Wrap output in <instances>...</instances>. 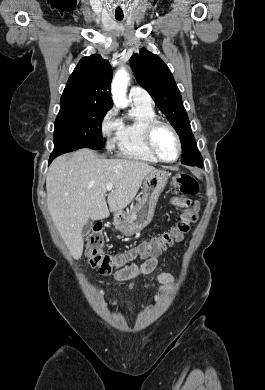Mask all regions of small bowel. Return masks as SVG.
<instances>
[{"label": "small bowel", "mask_w": 265, "mask_h": 390, "mask_svg": "<svg viewBox=\"0 0 265 390\" xmlns=\"http://www.w3.org/2000/svg\"><path fill=\"white\" fill-rule=\"evenodd\" d=\"M190 200L183 197H173L172 198V204L178 207H187L190 204ZM141 249V246L133 251L132 253H129L128 257H134ZM162 252L153 255L149 257L145 262H143L141 265H129L126 266L114 273V278L118 281H129V288L133 290L134 288V279L138 277L139 275H147L152 273L158 264L160 255ZM172 276L168 273H161L158 275L157 280L159 282V288L165 289V287L169 284L171 281ZM154 285L148 284L145 286L146 289L152 288ZM111 306L114 310H116V301H111Z\"/></svg>", "instance_id": "1"}]
</instances>
